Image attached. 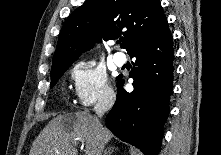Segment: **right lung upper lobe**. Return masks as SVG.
Masks as SVG:
<instances>
[{
	"mask_svg": "<svg viewBox=\"0 0 221 155\" xmlns=\"http://www.w3.org/2000/svg\"><path fill=\"white\" fill-rule=\"evenodd\" d=\"M167 22L159 0H86L60 32L52 68L72 64L94 43L123 35L129 52L145 34Z\"/></svg>",
	"mask_w": 221,
	"mask_h": 155,
	"instance_id": "1",
	"label": "right lung upper lobe"
}]
</instances>
